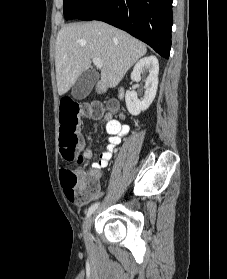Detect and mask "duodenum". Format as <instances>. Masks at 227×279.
<instances>
[{
    "instance_id": "duodenum-1",
    "label": "duodenum",
    "mask_w": 227,
    "mask_h": 279,
    "mask_svg": "<svg viewBox=\"0 0 227 279\" xmlns=\"http://www.w3.org/2000/svg\"><path fill=\"white\" fill-rule=\"evenodd\" d=\"M103 92V90H102ZM123 92V89L122 88H119V93L121 94Z\"/></svg>"
}]
</instances>
